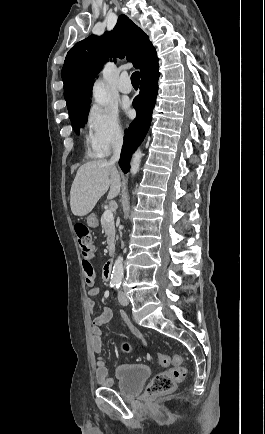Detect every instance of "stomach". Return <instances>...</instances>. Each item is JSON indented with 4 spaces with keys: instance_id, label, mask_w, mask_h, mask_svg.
<instances>
[{
    "instance_id": "1",
    "label": "stomach",
    "mask_w": 265,
    "mask_h": 434,
    "mask_svg": "<svg viewBox=\"0 0 265 434\" xmlns=\"http://www.w3.org/2000/svg\"><path fill=\"white\" fill-rule=\"evenodd\" d=\"M95 220H96V218L92 214V216H89V218H88V224H91V222H95Z\"/></svg>"
}]
</instances>
